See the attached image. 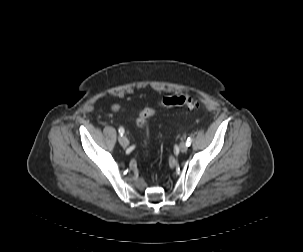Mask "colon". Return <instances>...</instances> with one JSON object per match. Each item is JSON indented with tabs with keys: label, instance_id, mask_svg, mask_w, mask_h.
Returning <instances> with one entry per match:
<instances>
[{
	"label": "colon",
	"instance_id": "colon-1",
	"mask_svg": "<svg viewBox=\"0 0 303 252\" xmlns=\"http://www.w3.org/2000/svg\"><path fill=\"white\" fill-rule=\"evenodd\" d=\"M159 105L162 107H172V106H185L192 110L201 109V104L191 95L187 94H177L168 97H164ZM155 113L153 108L144 109L137 118V125L141 128L146 136V141L148 137V122L152 115Z\"/></svg>",
	"mask_w": 303,
	"mask_h": 252
}]
</instances>
